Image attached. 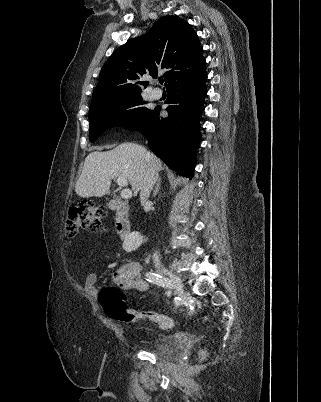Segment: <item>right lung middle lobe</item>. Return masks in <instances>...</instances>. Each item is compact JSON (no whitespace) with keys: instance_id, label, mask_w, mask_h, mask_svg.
I'll use <instances>...</instances> for the list:
<instances>
[{"instance_id":"obj_1","label":"right lung middle lobe","mask_w":321,"mask_h":402,"mask_svg":"<svg viewBox=\"0 0 321 402\" xmlns=\"http://www.w3.org/2000/svg\"><path fill=\"white\" fill-rule=\"evenodd\" d=\"M141 93L125 96L109 103L90 107L89 109V138L94 142L101 133L112 127L130 128L151 110L142 105Z\"/></svg>"}]
</instances>
